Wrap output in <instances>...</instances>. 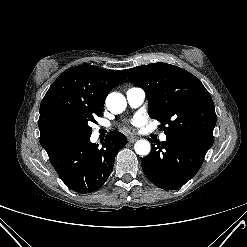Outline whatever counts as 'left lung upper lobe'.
<instances>
[{
  "instance_id": "1",
  "label": "left lung upper lobe",
  "mask_w": 247,
  "mask_h": 247,
  "mask_svg": "<svg viewBox=\"0 0 247 247\" xmlns=\"http://www.w3.org/2000/svg\"><path fill=\"white\" fill-rule=\"evenodd\" d=\"M123 72L144 89L149 116L162 123L167 136H183L212 146L216 124L214 104L198 78L182 68L161 62Z\"/></svg>"
}]
</instances>
